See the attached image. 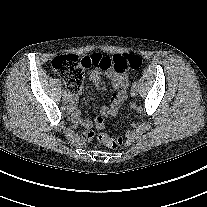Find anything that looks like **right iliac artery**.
<instances>
[{
    "label": "right iliac artery",
    "instance_id": "1",
    "mask_svg": "<svg viewBox=\"0 0 207 207\" xmlns=\"http://www.w3.org/2000/svg\"><path fill=\"white\" fill-rule=\"evenodd\" d=\"M63 96L67 95V92L65 90H62Z\"/></svg>",
    "mask_w": 207,
    "mask_h": 207
}]
</instances>
